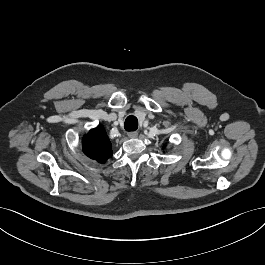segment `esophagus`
Wrapping results in <instances>:
<instances>
[{
    "label": "esophagus",
    "mask_w": 265,
    "mask_h": 265,
    "mask_svg": "<svg viewBox=\"0 0 265 265\" xmlns=\"http://www.w3.org/2000/svg\"><path fill=\"white\" fill-rule=\"evenodd\" d=\"M129 138H136L138 136V132L132 131L128 133Z\"/></svg>",
    "instance_id": "obj_1"
}]
</instances>
